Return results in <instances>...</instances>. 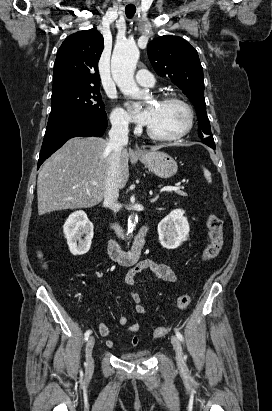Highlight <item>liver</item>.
I'll return each instance as SVG.
<instances>
[{
    "label": "liver",
    "mask_w": 272,
    "mask_h": 411,
    "mask_svg": "<svg viewBox=\"0 0 272 411\" xmlns=\"http://www.w3.org/2000/svg\"><path fill=\"white\" fill-rule=\"evenodd\" d=\"M108 139L99 137L68 140L41 168L37 180L38 214L89 208L103 200L110 151ZM161 146H152L157 151ZM129 152L122 149L118 187L129 178ZM93 183H96L95 185Z\"/></svg>",
    "instance_id": "1"
}]
</instances>
